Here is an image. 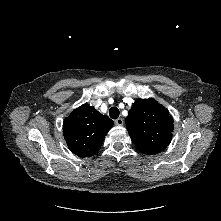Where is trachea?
I'll list each match as a JSON object with an SVG mask.
<instances>
[{"mask_svg":"<svg viewBox=\"0 0 221 221\" xmlns=\"http://www.w3.org/2000/svg\"><path fill=\"white\" fill-rule=\"evenodd\" d=\"M109 115L112 119H117L119 117V109L117 107L110 108Z\"/></svg>","mask_w":221,"mask_h":221,"instance_id":"3493384b","label":"trachea"}]
</instances>
